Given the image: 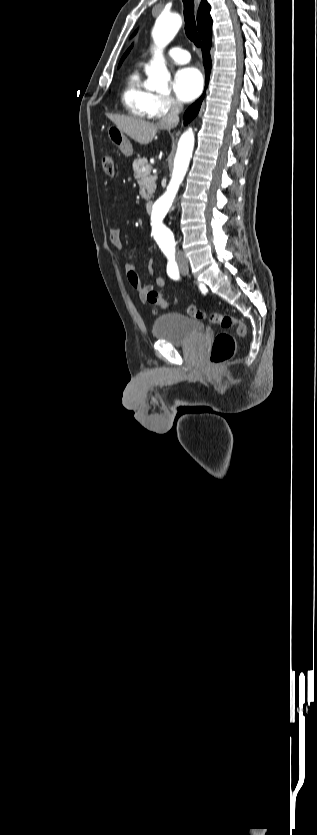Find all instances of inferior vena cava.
<instances>
[{
    "label": "inferior vena cava",
    "instance_id": "inferior-vena-cava-1",
    "mask_svg": "<svg viewBox=\"0 0 317 835\" xmlns=\"http://www.w3.org/2000/svg\"><path fill=\"white\" fill-rule=\"evenodd\" d=\"M183 105L178 101H172L169 113L162 117L159 125L167 130L176 127L179 123V113L182 111ZM182 255L181 251L177 252V257Z\"/></svg>",
    "mask_w": 317,
    "mask_h": 835
}]
</instances>
